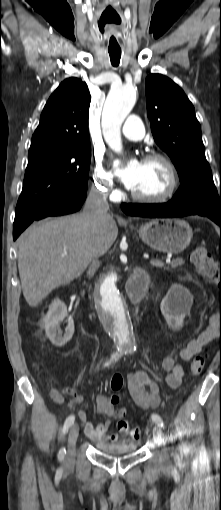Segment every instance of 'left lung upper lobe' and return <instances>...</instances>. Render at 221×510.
<instances>
[{
  "label": "left lung upper lobe",
  "instance_id": "1",
  "mask_svg": "<svg viewBox=\"0 0 221 510\" xmlns=\"http://www.w3.org/2000/svg\"><path fill=\"white\" fill-rule=\"evenodd\" d=\"M145 92L154 140L171 158L181 182L169 202L188 208H221V194L205 157L192 103L176 83L161 74L146 78Z\"/></svg>",
  "mask_w": 221,
  "mask_h": 510
}]
</instances>
